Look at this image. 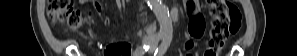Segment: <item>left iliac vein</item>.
Listing matches in <instances>:
<instances>
[{
	"label": "left iliac vein",
	"mask_w": 297,
	"mask_h": 56,
	"mask_svg": "<svg viewBox=\"0 0 297 56\" xmlns=\"http://www.w3.org/2000/svg\"><path fill=\"white\" fill-rule=\"evenodd\" d=\"M155 47H156V44H153V45H152V48H151V50H150V52H152V51L154 50Z\"/></svg>",
	"instance_id": "4c4485c4"
}]
</instances>
